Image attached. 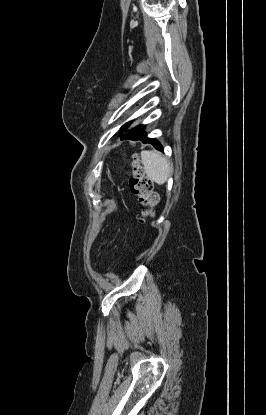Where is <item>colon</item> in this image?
<instances>
[{
	"label": "colon",
	"mask_w": 266,
	"mask_h": 415,
	"mask_svg": "<svg viewBox=\"0 0 266 415\" xmlns=\"http://www.w3.org/2000/svg\"><path fill=\"white\" fill-rule=\"evenodd\" d=\"M129 185L143 206L142 221L153 217L159 197L154 191L153 182L145 175L144 168L137 156H133L129 168Z\"/></svg>",
	"instance_id": "5ec220e1"
}]
</instances>
